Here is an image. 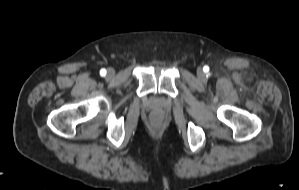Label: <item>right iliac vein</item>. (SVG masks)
Instances as JSON below:
<instances>
[{"mask_svg": "<svg viewBox=\"0 0 299 190\" xmlns=\"http://www.w3.org/2000/svg\"><path fill=\"white\" fill-rule=\"evenodd\" d=\"M114 75V70L113 69H109L108 70V76L112 77Z\"/></svg>", "mask_w": 299, "mask_h": 190, "instance_id": "63e3f726", "label": "right iliac vein"}]
</instances>
